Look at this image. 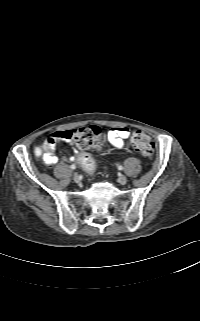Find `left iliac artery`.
<instances>
[{"instance_id": "1", "label": "left iliac artery", "mask_w": 200, "mask_h": 321, "mask_svg": "<svg viewBox=\"0 0 200 321\" xmlns=\"http://www.w3.org/2000/svg\"><path fill=\"white\" fill-rule=\"evenodd\" d=\"M118 169H119V170H123V166H122V165H119V166H118Z\"/></svg>"}]
</instances>
